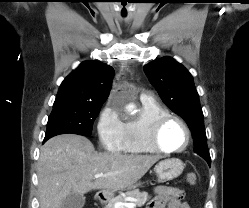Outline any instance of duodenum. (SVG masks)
Returning <instances> with one entry per match:
<instances>
[{"mask_svg": "<svg viewBox=\"0 0 249 208\" xmlns=\"http://www.w3.org/2000/svg\"><path fill=\"white\" fill-rule=\"evenodd\" d=\"M106 199V194H105V192H98L97 194H96V196H95V200L97 201V202H103L104 200Z\"/></svg>", "mask_w": 249, "mask_h": 208, "instance_id": "1", "label": "duodenum"}]
</instances>
